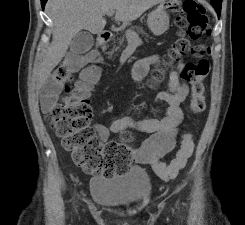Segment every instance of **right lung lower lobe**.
Returning a JSON list of instances; mask_svg holds the SVG:
<instances>
[{"label":"right lung lower lobe","instance_id":"98d812e1","mask_svg":"<svg viewBox=\"0 0 245 225\" xmlns=\"http://www.w3.org/2000/svg\"><path fill=\"white\" fill-rule=\"evenodd\" d=\"M47 2V0H41V5H42V8L44 9V6H45V3Z\"/></svg>","mask_w":245,"mask_h":225}]
</instances>
